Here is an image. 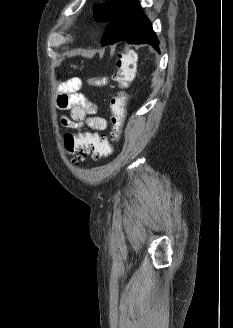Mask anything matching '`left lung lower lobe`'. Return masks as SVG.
Instances as JSON below:
<instances>
[{
  "label": "left lung lower lobe",
  "mask_w": 233,
  "mask_h": 328,
  "mask_svg": "<svg viewBox=\"0 0 233 328\" xmlns=\"http://www.w3.org/2000/svg\"><path fill=\"white\" fill-rule=\"evenodd\" d=\"M121 40L130 44L148 43L159 52L156 34L147 16L141 12L137 0H130L109 23L101 45H111Z\"/></svg>",
  "instance_id": "obj_1"
}]
</instances>
